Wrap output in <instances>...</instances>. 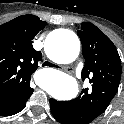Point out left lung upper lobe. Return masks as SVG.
I'll return each instance as SVG.
<instances>
[{"label":"left lung upper lobe","mask_w":124,"mask_h":124,"mask_svg":"<svg viewBox=\"0 0 124 124\" xmlns=\"http://www.w3.org/2000/svg\"><path fill=\"white\" fill-rule=\"evenodd\" d=\"M77 32L85 59L82 80L88 78L92 87L66 101V106L73 124H89L106 110L117 93L121 60L112 41L92 23H82Z\"/></svg>","instance_id":"5c2ea615"}]
</instances>
